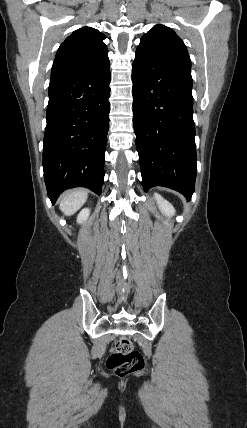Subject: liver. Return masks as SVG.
I'll return each mask as SVG.
<instances>
[{
  "label": "liver",
  "mask_w": 247,
  "mask_h": 428,
  "mask_svg": "<svg viewBox=\"0 0 247 428\" xmlns=\"http://www.w3.org/2000/svg\"><path fill=\"white\" fill-rule=\"evenodd\" d=\"M86 200L87 193L82 189H75L63 197L59 207L66 216H71L84 205Z\"/></svg>",
  "instance_id": "obj_1"
}]
</instances>
